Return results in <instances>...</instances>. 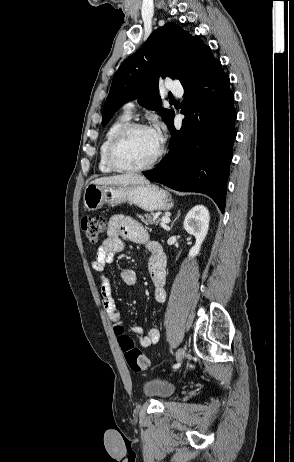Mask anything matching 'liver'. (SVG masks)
<instances>
[{
  "mask_svg": "<svg viewBox=\"0 0 294 462\" xmlns=\"http://www.w3.org/2000/svg\"><path fill=\"white\" fill-rule=\"evenodd\" d=\"M149 181L137 174L128 173L124 175H116L111 177H101L95 179L91 184L96 185H129V184H148Z\"/></svg>",
  "mask_w": 294,
  "mask_h": 462,
  "instance_id": "obj_1",
  "label": "liver"
}]
</instances>
